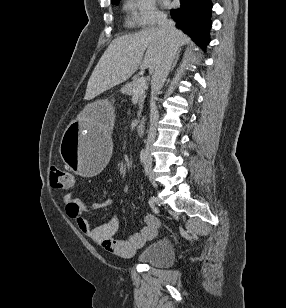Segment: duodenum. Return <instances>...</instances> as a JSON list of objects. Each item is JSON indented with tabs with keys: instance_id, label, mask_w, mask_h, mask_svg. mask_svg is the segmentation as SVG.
<instances>
[{
	"instance_id": "1",
	"label": "duodenum",
	"mask_w": 286,
	"mask_h": 308,
	"mask_svg": "<svg viewBox=\"0 0 286 308\" xmlns=\"http://www.w3.org/2000/svg\"><path fill=\"white\" fill-rule=\"evenodd\" d=\"M136 132L138 135H144L146 132V124L143 121H140L136 126Z\"/></svg>"
}]
</instances>
